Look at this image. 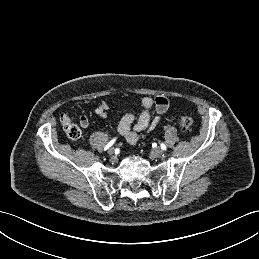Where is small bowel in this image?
Returning <instances> with one entry per match:
<instances>
[{
    "instance_id": "small-bowel-1",
    "label": "small bowel",
    "mask_w": 259,
    "mask_h": 259,
    "mask_svg": "<svg viewBox=\"0 0 259 259\" xmlns=\"http://www.w3.org/2000/svg\"><path fill=\"white\" fill-rule=\"evenodd\" d=\"M141 112L136 119L134 112H127L120 119L116 130L122 135L126 141L130 144H135L144 135L147 130L153 129L161 120L162 115L167 111L169 107V100L165 96H157L154 99L150 97H144L140 101ZM109 105L106 101L101 100L98 102L95 113L103 118L107 119V112ZM154 109L157 115L152 118L151 111ZM136 119V121H135ZM64 122L71 121L68 114L63 115ZM80 124L83 128H86L89 124L88 118L85 115L80 117Z\"/></svg>"
}]
</instances>
